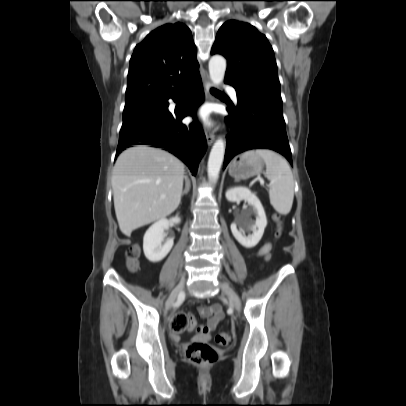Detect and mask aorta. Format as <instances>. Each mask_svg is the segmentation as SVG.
Instances as JSON below:
<instances>
[{
  "label": "aorta",
  "instance_id": "1",
  "mask_svg": "<svg viewBox=\"0 0 406 406\" xmlns=\"http://www.w3.org/2000/svg\"><path fill=\"white\" fill-rule=\"evenodd\" d=\"M226 60L220 55H214L209 61V75L214 86L220 85L225 76ZM225 154V141L219 138L215 141L208 159V177L211 182H216L223 163Z\"/></svg>",
  "mask_w": 406,
  "mask_h": 406
}]
</instances>
